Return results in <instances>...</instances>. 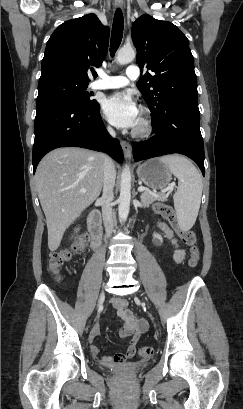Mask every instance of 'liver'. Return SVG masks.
Returning a JSON list of instances; mask_svg holds the SVG:
<instances>
[{
	"label": "liver",
	"instance_id": "1",
	"mask_svg": "<svg viewBox=\"0 0 243 409\" xmlns=\"http://www.w3.org/2000/svg\"><path fill=\"white\" fill-rule=\"evenodd\" d=\"M104 157L86 149L64 147L40 161L35 183L46 217L50 251L60 246L65 230L100 195ZM83 189L86 193H81Z\"/></svg>",
	"mask_w": 243,
	"mask_h": 409
}]
</instances>
